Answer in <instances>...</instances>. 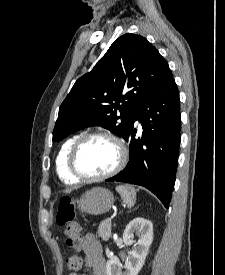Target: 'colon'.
Wrapping results in <instances>:
<instances>
[{
	"instance_id": "colon-1",
	"label": "colon",
	"mask_w": 225,
	"mask_h": 275,
	"mask_svg": "<svg viewBox=\"0 0 225 275\" xmlns=\"http://www.w3.org/2000/svg\"><path fill=\"white\" fill-rule=\"evenodd\" d=\"M75 204L69 197L61 199L57 214L56 223L63 227L66 235V244L70 248L78 251L81 247L80 226L74 221ZM66 267L72 272H78L82 268V258L78 252L73 253L66 259Z\"/></svg>"
}]
</instances>
